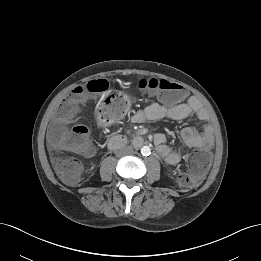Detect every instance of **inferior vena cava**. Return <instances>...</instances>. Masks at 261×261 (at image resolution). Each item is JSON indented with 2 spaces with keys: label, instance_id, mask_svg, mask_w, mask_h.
<instances>
[{
  "label": "inferior vena cava",
  "instance_id": "inferior-vena-cava-1",
  "mask_svg": "<svg viewBox=\"0 0 261 261\" xmlns=\"http://www.w3.org/2000/svg\"><path fill=\"white\" fill-rule=\"evenodd\" d=\"M120 152L123 154H132L133 153V148L131 146H125L120 149Z\"/></svg>",
  "mask_w": 261,
  "mask_h": 261
}]
</instances>
